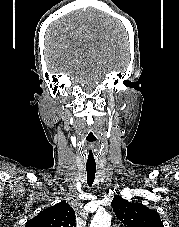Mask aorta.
Segmentation results:
<instances>
[{
	"instance_id": "aorta-1",
	"label": "aorta",
	"mask_w": 179,
	"mask_h": 227,
	"mask_svg": "<svg viewBox=\"0 0 179 227\" xmlns=\"http://www.w3.org/2000/svg\"><path fill=\"white\" fill-rule=\"evenodd\" d=\"M111 215L107 212H98L91 221L90 227H110Z\"/></svg>"
}]
</instances>
